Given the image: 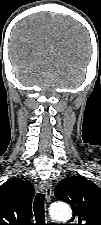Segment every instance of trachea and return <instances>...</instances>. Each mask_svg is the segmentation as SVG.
Masks as SVG:
<instances>
[{
  "label": "trachea",
  "instance_id": "obj_1",
  "mask_svg": "<svg viewBox=\"0 0 101 225\" xmlns=\"http://www.w3.org/2000/svg\"><path fill=\"white\" fill-rule=\"evenodd\" d=\"M44 200H45V194L43 193H38L34 200L33 209H34L36 225H46Z\"/></svg>",
  "mask_w": 101,
  "mask_h": 225
}]
</instances>
